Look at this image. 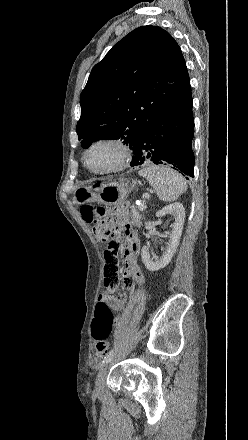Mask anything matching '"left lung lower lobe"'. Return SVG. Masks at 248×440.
Returning a JSON list of instances; mask_svg holds the SVG:
<instances>
[{
	"mask_svg": "<svg viewBox=\"0 0 248 440\" xmlns=\"http://www.w3.org/2000/svg\"><path fill=\"white\" fill-rule=\"evenodd\" d=\"M194 118L190 84L149 123L135 146L132 166L146 162L170 165L184 176L193 177L192 139ZM188 179V177H186Z\"/></svg>",
	"mask_w": 248,
	"mask_h": 440,
	"instance_id": "1",
	"label": "left lung lower lobe"
}]
</instances>
